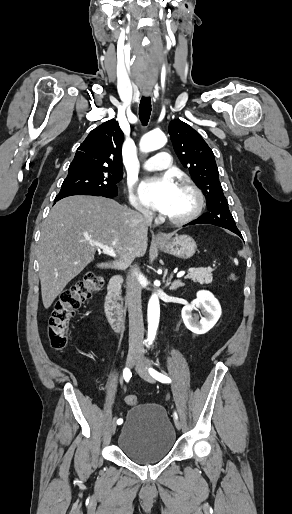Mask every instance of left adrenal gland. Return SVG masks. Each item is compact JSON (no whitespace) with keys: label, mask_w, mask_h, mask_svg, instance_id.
<instances>
[{"label":"left adrenal gland","mask_w":292,"mask_h":514,"mask_svg":"<svg viewBox=\"0 0 292 514\" xmlns=\"http://www.w3.org/2000/svg\"><path fill=\"white\" fill-rule=\"evenodd\" d=\"M172 278L173 274H171L170 278H168L166 286H170ZM180 286H185V284H183L181 280H175V282H172L169 290H177V288H180Z\"/></svg>","instance_id":"left-adrenal-gland-1"}]
</instances>
